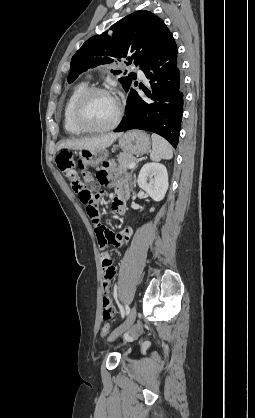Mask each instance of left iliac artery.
Masks as SVG:
<instances>
[{
  "label": "left iliac artery",
  "mask_w": 255,
  "mask_h": 418,
  "mask_svg": "<svg viewBox=\"0 0 255 418\" xmlns=\"http://www.w3.org/2000/svg\"><path fill=\"white\" fill-rule=\"evenodd\" d=\"M125 310H126V315H128V314H129V312H130V308H129V306H128V305H126Z\"/></svg>",
  "instance_id": "left-iliac-artery-1"
}]
</instances>
